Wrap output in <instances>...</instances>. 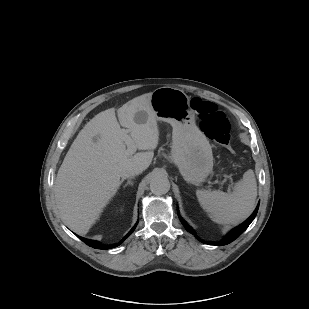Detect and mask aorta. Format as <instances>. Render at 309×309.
Here are the masks:
<instances>
[{"label": "aorta", "mask_w": 309, "mask_h": 309, "mask_svg": "<svg viewBox=\"0 0 309 309\" xmlns=\"http://www.w3.org/2000/svg\"><path fill=\"white\" fill-rule=\"evenodd\" d=\"M170 189L169 180L161 175L152 178L150 182V190L155 195L166 194Z\"/></svg>", "instance_id": "1"}]
</instances>
